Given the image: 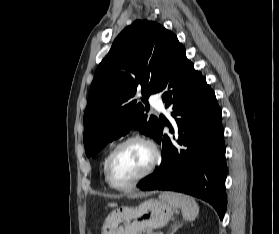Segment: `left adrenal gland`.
I'll list each match as a JSON object with an SVG mask.
<instances>
[{"label": "left adrenal gland", "mask_w": 279, "mask_h": 234, "mask_svg": "<svg viewBox=\"0 0 279 234\" xmlns=\"http://www.w3.org/2000/svg\"><path fill=\"white\" fill-rule=\"evenodd\" d=\"M180 227L181 224L174 223V225L172 226V232L170 234H174Z\"/></svg>", "instance_id": "a2214340"}]
</instances>
